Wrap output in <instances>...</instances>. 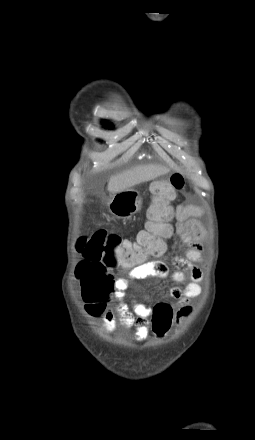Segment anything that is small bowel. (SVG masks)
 Masks as SVG:
<instances>
[{
    "label": "small bowel",
    "mask_w": 255,
    "mask_h": 440,
    "mask_svg": "<svg viewBox=\"0 0 255 440\" xmlns=\"http://www.w3.org/2000/svg\"><path fill=\"white\" fill-rule=\"evenodd\" d=\"M202 215V208L197 205H177L175 208L176 224L174 232L179 235L184 243L183 253L177 256L173 264L176 270L171 274L175 285L170 288L169 296L175 300L171 307L176 308L175 323L179 325L192 313L191 300L201 293L200 283L203 280V271L198 264H204L200 240L204 235L202 225L198 218ZM172 231L167 236H171ZM165 246V245H164ZM166 250V247H165ZM85 269L77 274L80 280ZM187 274L190 282L185 283ZM170 275L168 265L163 261L147 262L133 268L125 277L113 281L115 297L118 301V320L113 311L107 310L102 317L104 330L107 333L114 331L119 323L124 328H134V338L138 342L146 340L149 336L150 317L152 308L134 302L128 304L124 301L126 291L133 280L147 278H164Z\"/></svg>",
    "instance_id": "obj_1"
}]
</instances>
